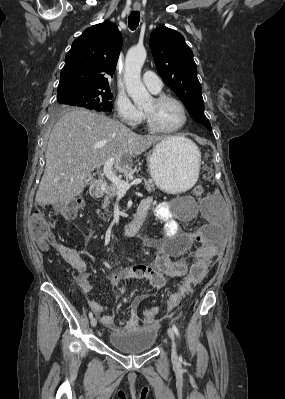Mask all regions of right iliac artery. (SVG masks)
I'll list each match as a JSON object with an SVG mask.
<instances>
[{"mask_svg": "<svg viewBox=\"0 0 285 399\" xmlns=\"http://www.w3.org/2000/svg\"><path fill=\"white\" fill-rule=\"evenodd\" d=\"M89 318L92 319L93 318V314L92 312L89 313Z\"/></svg>", "mask_w": 285, "mask_h": 399, "instance_id": "82829eb1", "label": "right iliac artery"}]
</instances>
